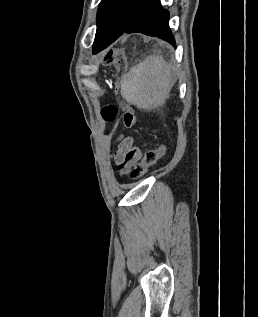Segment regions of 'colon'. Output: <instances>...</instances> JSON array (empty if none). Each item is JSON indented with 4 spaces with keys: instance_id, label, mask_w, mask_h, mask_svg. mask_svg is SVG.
Instances as JSON below:
<instances>
[{
    "instance_id": "obj_1",
    "label": "colon",
    "mask_w": 258,
    "mask_h": 317,
    "mask_svg": "<svg viewBox=\"0 0 258 317\" xmlns=\"http://www.w3.org/2000/svg\"><path fill=\"white\" fill-rule=\"evenodd\" d=\"M104 62L109 64L112 62V57L106 55L104 57ZM124 71L123 69L120 70L117 79V86H119L123 79ZM119 115V109L115 105H106L102 109V116L103 118L108 121L112 122L117 119ZM137 117L136 113L133 109H127L122 117V123L126 128H131L136 123ZM166 146L163 143H158L155 148L149 149L144 153L142 160L135 164L129 172V175L132 179H138L142 177L148 169L156 164L165 154Z\"/></svg>"
}]
</instances>
